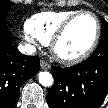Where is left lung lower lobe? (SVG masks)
Returning <instances> with one entry per match:
<instances>
[{
    "label": "left lung lower lobe",
    "mask_w": 108,
    "mask_h": 108,
    "mask_svg": "<svg viewBox=\"0 0 108 108\" xmlns=\"http://www.w3.org/2000/svg\"><path fill=\"white\" fill-rule=\"evenodd\" d=\"M52 74L49 108H99L108 96V49L97 48L78 65L53 67Z\"/></svg>",
    "instance_id": "1"
}]
</instances>
